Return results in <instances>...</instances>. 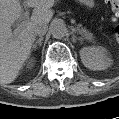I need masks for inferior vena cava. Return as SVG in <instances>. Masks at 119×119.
I'll return each instance as SVG.
<instances>
[{
	"label": "inferior vena cava",
	"mask_w": 119,
	"mask_h": 119,
	"mask_svg": "<svg viewBox=\"0 0 119 119\" xmlns=\"http://www.w3.org/2000/svg\"><path fill=\"white\" fill-rule=\"evenodd\" d=\"M48 30V26L46 24H39L36 25L33 29L35 35H44Z\"/></svg>",
	"instance_id": "602c4592"
}]
</instances>
